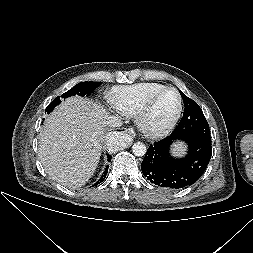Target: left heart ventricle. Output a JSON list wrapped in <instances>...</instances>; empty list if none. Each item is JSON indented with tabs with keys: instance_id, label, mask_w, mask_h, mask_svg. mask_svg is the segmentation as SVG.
<instances>
[{
	"instance_id": "b2bd125f",
	"label": "left heart ventricle",
	"mask_w": 253,
	"mask_h": 253,
	"mask_svg": "<svg viewBox=\"0 0 253 253\" xmlns=\"http://www.w3.org/2000/svg\"><path fill=\"white\" fill-rule=\"evenodd\" d=\"M177 105L178 98L175 92L167 91L160 95L147 116L148 125L156 128L166 124L175 114Z\"/></svg>"
}]
</instances>
